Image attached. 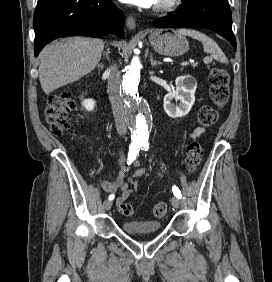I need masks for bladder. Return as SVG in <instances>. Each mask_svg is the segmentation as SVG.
<instances>
[{"label": "bladder", "mask_w": 272, "mask_h": 282, "mask_svg": "<svg viewBox=\"0 0 272 282\" xmlns=\"http://www.w3.org/2000/svg\"><path fill=\"white\" fill-rule=\"evenodd\" d=\"M161 227L160 222L150 220L126 221L121 225V229L130 234L153 233L159 231Z\"/></svg>", "instance_id": "1"}]
</instances>
